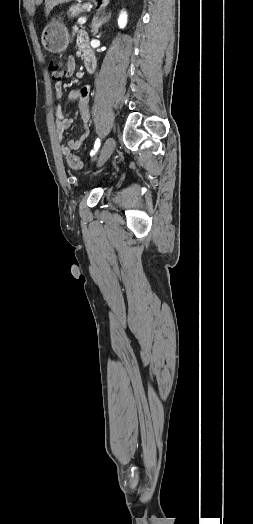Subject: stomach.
Returning <instances> with one entry per match:
<instances>
[{"mask_svg":"<svg viewBox=\"0 0 253 524\" xmlns=\"http://www.w3.org/2000/svg\"><path fill=\"white\" fill-rule=\"evenodd\" d=\"M96 5H101V0H92ZM42 44L51 53H61L69 44L67 28L59 21L49 23L42 33Z\"/></svg>","mask_w":253,"mask_h":524,"instance_id":"stomach-1","label":"stomach"}]
</instances>
